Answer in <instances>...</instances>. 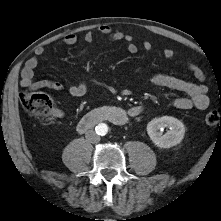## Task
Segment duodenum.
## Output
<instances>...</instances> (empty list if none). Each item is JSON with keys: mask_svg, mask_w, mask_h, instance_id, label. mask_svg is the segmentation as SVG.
Masks as SVG:
<instances>
[{"mask_svg": "<svg viewBox=\"0 0 221 221\" xmlns=\"http://www.w3.org/2000/svg\"><path fill=\"white\" fill-rule=\"evenodd\" d=\"M142 107H137L136 115L142 112ZM130 116L125 110L117 106H105L87 113L77 124V130L84 133L103 121L122 126L128 123Z\"/></svg>", "mask_w": 221, "mask_h": 221, "instance_id": "410a0bca", "label": "duodenum"}]
</instances>
